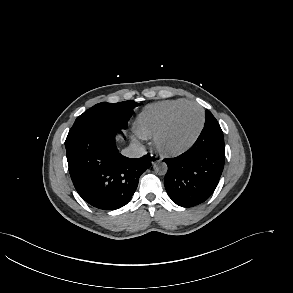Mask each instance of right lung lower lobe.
<instances>
[{
  "instance_id": "98d812e1",
  "label": "right lung lower lobe",
  "mask_w": 293,
  "mask_h": 293,
  "mask_svg": "<svg viewBox=\"0 0 293 293\" xmlns=\"http://www.w3.org/2000/svg\"><path fill=\"white\" fill-rule=\"evenodd\" d=\"M116 128L86 134L66 146L69 172L78 194L90 205L113 210L126 205L139 176L151 166L149 156L131 159L115 145Z\"/></svg>"
}]
</instances>
